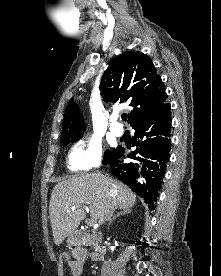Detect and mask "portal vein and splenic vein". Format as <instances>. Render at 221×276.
I'll list each match as a JSON object with an SVG mask.
<instances>
[{"label": "portal vein and splenic vein", "mask_w": 221, "mask_h": 276, "mask_svg": "<svg viewBox=\"0 0 221 276\" xmlns=\"http://www.w3.org/2000/svg\"><path fill=\"white\" fill-rule=\"evenodd\" d=\"M90 226H93V225H95V221L94 220H91V221H89V223H88Z\"/></svg>", "instance_id": "obj_1"}]
</instances>
